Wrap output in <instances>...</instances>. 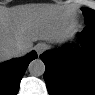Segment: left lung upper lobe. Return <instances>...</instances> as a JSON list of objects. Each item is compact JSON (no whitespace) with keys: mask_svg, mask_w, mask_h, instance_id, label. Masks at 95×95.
I'll return each instance as SVG.
<instances>
[{"mask_svg":"<svg viewBox=\"0 0 95 95\" xmlns=\"http://www.w3.org/2000/svg\"><path fill=\"white\" fill-rule=\"evenodd\" d=\"M82 11L85 16L86 23L95 22V11L94 10L89 9V8H83Z\"/></svg>","mask_w":95,"mask_h":95,"instance_id":"left-lung-upper-lobe-1","label":"left lung upper lobe"}]
</instances>
